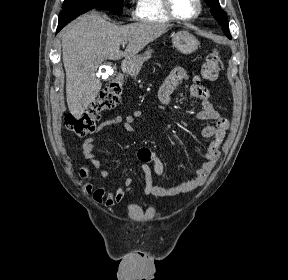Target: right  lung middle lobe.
Instances as JSON below:
<instances>
[{
	"label": "right lung middle lobe",
	"mask_w": 288,
	"mask_h": 280,
	"mask_svg": "<svg viewBox=\"0 0 288 280\" xmlns=\"http://www.w3.org/2000/svg\"><path fill=\"white\" fill-rule=\"evenodd\" d=\"M94 8L106 9L114 14L121 15L123 0H65L59 15V20H63L72 14Z\"/></svg>",
	"instance_id": "1"
}]
</instances>
